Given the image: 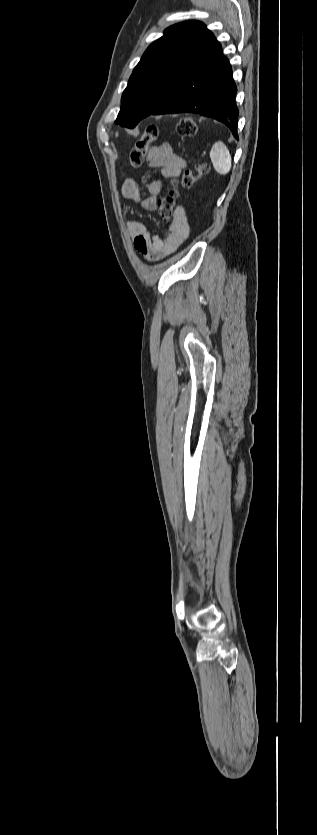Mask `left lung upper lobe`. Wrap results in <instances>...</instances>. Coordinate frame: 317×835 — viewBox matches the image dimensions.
<instances>
[{"label":"left lung upper lobe","instance_id":"obj_1","mask_svg":"<svg viewBox=\"0 0 317 835\" xmlns=\"http://www.w3.org/2000/svg\"><path fill=\"white\" fill-rule=\"evenodd\" d=\"M164 33L147 48L134 68L115 123L134 128L140 120L151 115L170 96L184 71L214 37L199 21L173 25Z\"/></svg>","mask_w":317,"mask_h":835}]
</instances>
